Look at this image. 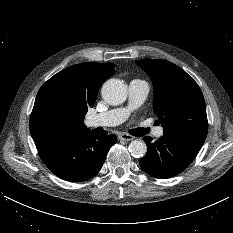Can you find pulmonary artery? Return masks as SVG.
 Listing matches in <instances>:
<instances>
[{"instance_id": "pulmonary-artery-1", "label": "pulmonary artery", "mask_w": 233, "mask_h": 233, "mask_svg": "<svg viewBox=\"0 0 233 233\" xmlns=\"http://www.w3.org/2000/svg\"><path fill=\"white\" fill-rule=\"evenodd\" d=\"M128 90L129 103L126 107L90 116L87 121L88 125L90 127H111L124 122L130 113L144 102L149 92V86L144 80L134 79L129 83ZM163 131V127H158L154 131V135L157 138L162 137Z\"/></svg>"}]
</instances>
